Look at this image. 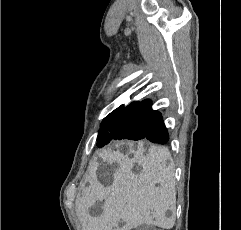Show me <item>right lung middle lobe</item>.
I'll return each mask as SVG.
<instances>
[{
  "instance_id": "1",
  "label": "right lung middle lobe",
  "mask_w": 241,
  "mask_h": 230,
  "mask_svg": "<svg viewBox=\"0 0 241 230\" xmlns=\"http://www.w3.org/2000/svg\"><path fill=\"white\" fill-rule=\"evenodd\" d=\"M148 104L142 106L138 113L134 115H124L114 111L104 118L97 137V146L103 147L112 140H140L137 133L131 127L140 121V114L143 113Z\"/></svg>"
}]
</instances>
